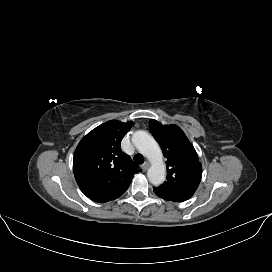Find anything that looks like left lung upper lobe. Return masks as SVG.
<instances>
[{
    "label": "left lung upper lobe",
    "instance_id": "5c2ea615",
    "mask_svg": "<svg viewBox=\"0 0 272 272\" xmlns=\"http://www.w3.org/2000/svg\"><path fill=\"white\" fill-rule=\"evenodd\" d=\"M149 126L167 158L166 181L154 189L172 196L191 198L202 176V166L193 145L176 125H162L150 120Z\"/></svg>",
    "mask_w": 272,
    "mask_h": 272
}]
</instances>
